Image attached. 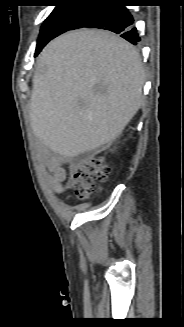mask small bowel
<instances>
[{"label":"small bowel","instance_id":"small-bowel-1","mask_svg":"<svg viewBox=\"0 0 184 327\" xmlns=\"http://www.w3.org/2000/svg\"><path fill=\"white\" fill-rule=\"evenodd\" d=\"M44 161L52 173L51 181L53 191L55 194L61 195L65 189L64 183L68 179V170L66 167L70 165L69 160L66 157L44 154Z\"/></svg>","mask_w":184,"mask_h":327}]
</instances>
